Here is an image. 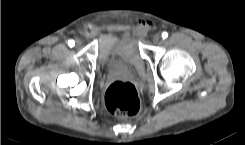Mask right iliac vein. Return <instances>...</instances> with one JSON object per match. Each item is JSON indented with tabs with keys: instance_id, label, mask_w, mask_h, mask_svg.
<instances>
[{
	"instance_id": "obj_1",
	"label": "right iliac vein",
	"mask_w": 245,
	"mask_h": 145,
	"mask_svg": "<svg viewBox=\"0 0 245 145\" xmlns=\"http://www.w3.org/2000/svg\"><path fill=\"white\" fill-rule=\"evenodd\" d=\"M81 43H82V42H81L80 39H78V38L75 39V46H76V47H79V46L81 45Z\"/></svg>"
}]
</instances>
